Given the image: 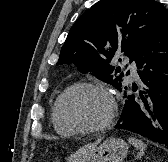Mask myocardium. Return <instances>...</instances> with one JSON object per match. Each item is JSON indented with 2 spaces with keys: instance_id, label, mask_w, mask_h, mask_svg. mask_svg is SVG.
Listing matches in <instances>:
<instances>
[{
  "instance_id": "myocardium-1",
  "label": "myocardium",
  "mask_w": 168,
  "mask_h": 162,
  "mask_svg": "<svg viewBox=\"0 0 168 162\" xmlns=\"http://www.w3.org/2000/svg\"><path fill=\"white\" fill-rule=\"evenodd\" d=\"M80 89H92L96 90L98 92L103 93L110 101L111 103V111L109 116L105 121H103L100 124L96 125H82L75 123L67 118V116L64 113V102L65 99L73 92L80 90ZM56 112L59 120L62 124H64L69 129L75 131V132H101L106 129H108L112 123L114 122L117 112H118V106L115 98L111 94V92L104 86L92 82H78L75 83L69 87H67L58 97L57 104H56Z\"/></svg>"
}]
</instances>
